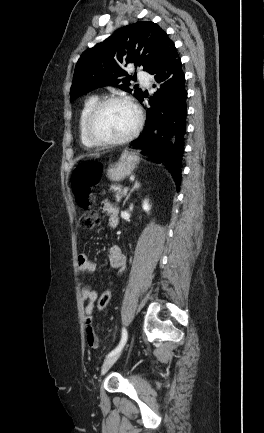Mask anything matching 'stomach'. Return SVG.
Returning <instances> with one entry per match:
<instances>
[{"mask_svg": "<svg viewBox=\"0 0 264 433\" xmlns=\"http://www.w3.org/2000/svg\"><path fill=\"white\" fill-rule=\"evenodd\" d=\"M139 162L138 156L125 150L117 163L111 164L107 170V177L113 182H120L132 174Z\"/></svg>", "mask_w": 264, "mask_h": 433, "instance_id": "stomach-1", "label": "stomach"}]
</instances>
